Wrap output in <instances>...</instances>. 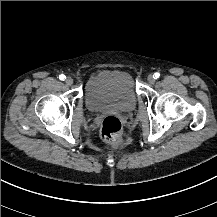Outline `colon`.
<instances>
[{
    "label": "colon",
    "instance_id": "obj_1",
    "mask_svg": "<svg viewBox=\"0 0 217 217\" xmlns=\"http://www.w3.org/2000/svg\"><path fill=\"white\" fill-rule=\"evenodd\" d=\"M122 124L116 115H108L104 118L101 126V135L105 141L116 147L121 141Z\"/></svg>",
    "mask_w": 217,
    "mask_h": 217
}]
</instances>
